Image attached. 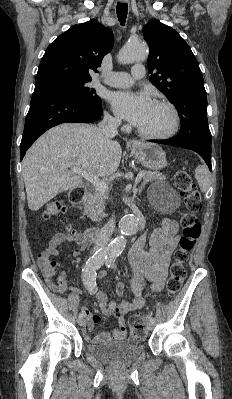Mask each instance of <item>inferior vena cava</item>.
Listing matches in <instances>:
<instances>
[{
  "label": "inferior vena cava",
  "mask_w": 232,
  "mask_h": 399,
  "mask_svg": "<svg viewBox=\"0 0 232 399\" xmlns=\"http://www.w3.org/2000/svg\"><path fill=\"white\" fill-rule=\"evenodd\" d=\"M120 124L121 120H114L112 116H109V114H105L98 128L101 134H103L104 138H106L108 142H112V138H114V136H117L118 134V126H120ZM114 227H115L114 217H111L108 223H105L104 227H102L100 235L97 239V243L95 247H93V252L97 249L104 248L105 245H107Z\"/></svg>",
  "instance_id": "602c4592"
}]
</instances>
